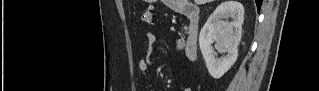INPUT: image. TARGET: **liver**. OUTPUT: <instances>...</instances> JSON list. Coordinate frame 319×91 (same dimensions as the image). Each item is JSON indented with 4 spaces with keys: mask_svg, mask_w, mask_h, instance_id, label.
Returning <instances> with one entry per match:
<instances>
[{
    "mask_svg": "<svg viewBox=\"0 0 319 91\" xmlns=\"http://www.w3.org/2000/svg\"><path fill=\"white\" fill-rule=\"evenodd\" d=\"M194 1L198 5H202V4H206L208 2H211V0H194Z\"/></svg>",
    "mask_w": 319,
    "mask_h": 91,
    "instance_id": "liver-1",
    "label": "liver"
}]
</instances>
